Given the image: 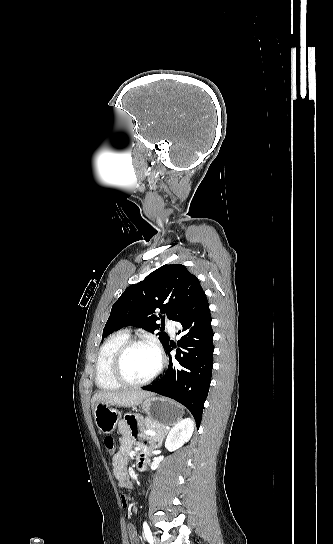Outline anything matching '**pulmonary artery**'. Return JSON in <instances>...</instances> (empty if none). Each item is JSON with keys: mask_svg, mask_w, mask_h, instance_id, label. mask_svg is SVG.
Wrapping results in <instances>:
<instances>
[{"mask_svg": "<svg viewBox=\"0 0 333 544\" xmlns=\"http://www.w3.org/2000/svg\"><path fill=\"white\" fill-rule=\"evenodd\" d=\"M167 326H168V329H169L170 333L172 335H174L175 334L176 323L173 320H168L167 321Z\"/></svg>", "mask_w": 333, "mask_h": 544, "instance_id": "pulmonary-artery-1", "label": "pulmonary artery"}]
</instances>
